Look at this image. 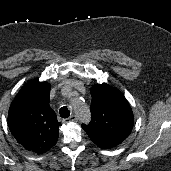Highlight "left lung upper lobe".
<instances>
[{"mask_svg":"<svg viewBox=\"0 0 171 171\" xmlns=\"http://www.w3.org/2000/svg\"><path fill=\"white\" fill-rule=\"evenodd\" d=\"M92 120L82 125L90 139L102 149L121 144L133 128V112L124 95L108 84L91 88Z\"/></svg>","mask_w":171,"mask_h":171,"instance_id":"1","label":"left lung upper lobe"}]
</instances>
